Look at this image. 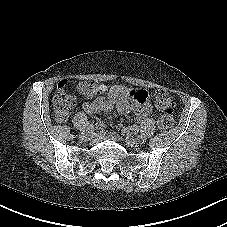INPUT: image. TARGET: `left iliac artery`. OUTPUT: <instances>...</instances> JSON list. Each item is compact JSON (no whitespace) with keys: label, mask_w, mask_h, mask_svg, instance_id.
I'll use <instances>...</instances> for the list:
<instances>
[{"label":"left iliac artery","mask_w":227,"mask_h":227,"mask_svg":"<svg viewBox=\"0 0 227 227\" xmlns=\"http://www.w3.org/2000/svg\"><path fill=\"white\" fill-rule=\"evenodd\" d=\"M139 138L142 140L143 143L147 140V137L144 134H141Z\"/></svg>","instance_id":"44dca946"}]
</instances>
